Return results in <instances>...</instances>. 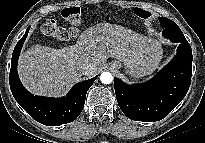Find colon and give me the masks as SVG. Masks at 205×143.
<instances>
[{
	"mask_svg": "<svg viewBox=\"0 0 205 143\" xmlns=\"http://www.w3.org/2000/svg\"><path fill=\"white\" fill-rule=\"evenodd\" d=\"M134 13L140 18H148L150 13L142 8L134 9ZM61 16L68 27L60 26L54 19H48L42 26V31L56 41H69L76 37L81 24V9L77 6L66 7L61 11Z\"/></svg>",
	"mask_w": 205,
	"mask_h": 143,
	"instance_id": "5ec220e1",
	"label": "colon"
}]
</instances>
